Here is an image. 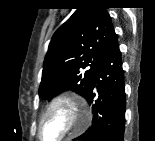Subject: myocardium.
Masks as SVG:
<instances>
[{
	"label": "myocardium",
	"instance_id": "f54148a6",
	"mask_svg": "<svg viewBox=\"0 0 155 141\" xmlns=\"http://www.w3.org/2000/svg\"><path fill=\"white\" fill-rule=\"evenodd\" d=\"M57 107H64L68 116L69 127L54 141H63L66 138L75 135L84 129L90 122V113L87 106L78 98L60 94L52 97L42 108L39 118L37 132L38 137L44 140L42 136V125L46 117Z\"/></svg>",
	"mask_w": 155,
	"mask_h": 141
}]
</instances>
